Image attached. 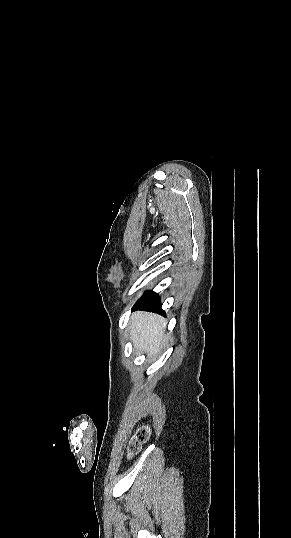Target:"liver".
Segmentation results:
<instances>
[{
  "label": "liver",
  "mask_w": 291,
  "mask_h": 538,
  "mask_svg": "<svg viewBox=\"0 0 291 538\" xmlns=\"http://www.w3.org/2000/svg\"><path fill=\"white\" fill-rule=\"evenodd\" d=\"M166 320L158 315L136 312L130 321V338L135 349L146 351L150 355L157 354L165 347L168 338L165 336Z\"/></svg>",
  "instance_id": "1"
}]
</instances>
